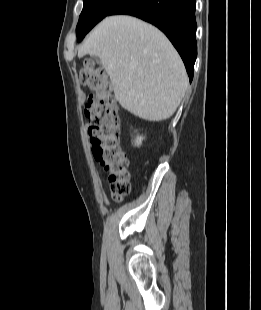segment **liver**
<instances>
[{"label": "liver", "mask_w": 261, "mask_h": 310, "mask_svg": "<svg viewBox=\"0 0 261 310\" xmlns=\"http://www.w3.org/2000/svg\"><path fill=\"white\" fill-rule=\"evenodd\" d=\"M98 57L110 77L115 98L148 121L170 118L188 87L184 64L167 37L135 17H106L78 50Z\"/></svg>", "instance_id": "liver-1"}]
</instances>
